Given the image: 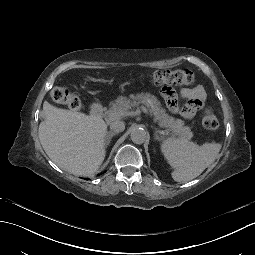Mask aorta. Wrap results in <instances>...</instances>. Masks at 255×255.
<instances>
[{"mask_svg": "<svg viewBox=\"0 0 255 255\" xmlns=\"http://www.w3.org/2000/svg\"><path fill=\"white\" fill-rule=\"evenodd\" d=\"M130 137L135 144H142L145 142L147 135L143 128L135 127L132 129Z\"/></svg>", "mask_w": 255, "mask_h": 255, "instance_id": "obj_1", "label": "aorta"}]
</instances>
